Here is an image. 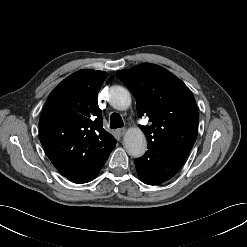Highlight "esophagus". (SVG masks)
Instances as JSON below:
<instances>
[{"label": "esophagus", "mask_w": 247, "mask_h": 247, "mask_svg": "<svg viewBox=\"0 0 247 247\" xmlns=\"http://www.w3.org/2000/svg\"><path fill=\"white\" fill-rule=\"evenodd\" d=\"M125 131H126L125 128H118V129L116 130V132H117V134H118L119 136H122V135L125 133Z\"/></svg>", "instance_id": "esophagus-1"}]
</instances>
